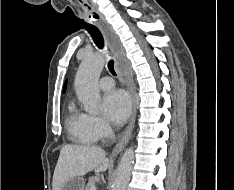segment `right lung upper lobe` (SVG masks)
Masks as SVG:
<instances>
[{
	"instance_id": "1",
	"label": "right lung upper lobe",
	"mask_w": 234,
	"mask_h": 190,
	"mask_svg": "<svg viewBox=\"0 0 234 190\" xmlns=\"http://www.w3.org/2000/svg\"><path fill=\"white\" fill-rule=\"evenodd\" d=\"M65 88H66V84H65V86H64V90H65Z\"/></svg>"
}]
</instances>
